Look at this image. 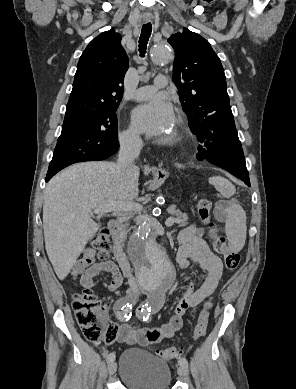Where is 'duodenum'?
Returning a JSON list of instances; mask_svg holds the SVG:
<instances>
[{
  "mask_svg": "<svg viewBox=\"0 0 296 389\" xmlns=\"http://www.w3.org/2000/svg\"><path fill=\"white\" fill-rule=\"evenodd\" d=\"M108 229L113 239V253L118 261L120 268L125 276H129L131 268L129 261L123 249V240L120 231V223L116 219H112L108 223Z\"/></svg>",
  "mask_w": 296,
  "mask_h": 389,
  "instance_id": "410a0bca",
  "label": "duodenum"
}]
</instances>
